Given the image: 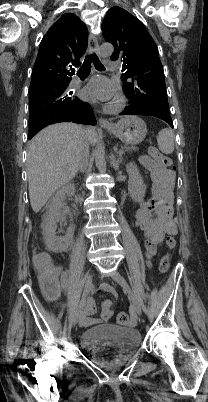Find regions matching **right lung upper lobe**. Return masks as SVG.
Segmentation results:
<instances>
[{
	"instance_id": "cb5924a9",
	"label": "right lung upper lobe",
	"mask_w": 208,
	"mask_h": 402,
	"mask_svg": "<svg viewBox=\"0 0 208 402\" xmlns=\"http://www.w3.org/2000/svg\"><path fill=\"white\" fill-rule=\"evenodd\" d=\"M88 43L86 25L72 13L55 22L43 37L32 71L29 89L45 82L71 79L68 68L79 66Z\"/></svg>"
}]
</instances>
